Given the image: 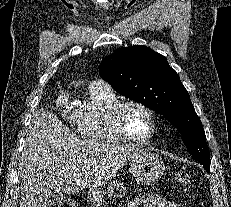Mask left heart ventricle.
I'll return each instance as SVG.
<instances>
[{
  "instance_id": "obj_1",
  "label": "left heart ventricle",
  "mask_w": 231,
  "mask_h": 207,
  "mask_svg": "<svg viewBox=\"0 0 231 207\" xmlns=\"http://www.w3.org/2000/svg\"><path fill=\"white\" fill-rule=\"evenodd\" d=\"M125 121L129 131L136 137H147L152 129L148 114L139 107H129L125 112Z\"/></svg>"
}]
</instances>
